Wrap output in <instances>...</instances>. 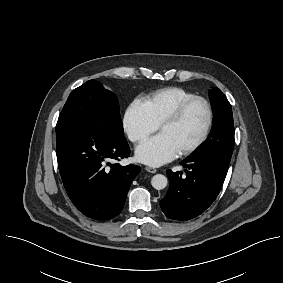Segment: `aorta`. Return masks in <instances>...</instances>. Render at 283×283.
I'll return each instance as SVG.
<instances>
[{
	"label": "aorta",
	"instance_id": "762f6f07",
	"mask_svg": "<svg viewBox=\"0 0 283 283\" xmlns=\"http://www.w3.org/2000/svg\"><path fill=\"white\" fill-rule=\"evenodd\" d=\"M168 184L167 178L162 174H156L151 179V185L157 190L164 189Z\"/></svg>",
	"mask_w": 283,
	"mask_h": 283
}]
</instances>
